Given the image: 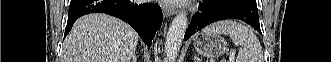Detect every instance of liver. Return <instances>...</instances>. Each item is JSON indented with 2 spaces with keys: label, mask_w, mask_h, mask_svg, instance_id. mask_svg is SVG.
Listing matches in <instances>:
<instances>
[{
  "label": "liver",
  "mask_w": 331,
  "mask_h": 62,
  "mask_svg": "<svg viewBox=\"0 0 331 62\" xmlns=\"http://www.w3.org/2000/svg\"><path fill=\"white\" fill-rule=\"evenodd\" d=\"M138 37L122 20L88 14L75 22L66 37L62 62H130Z\"/></svg>",
  "instance_id": "6515ba94"
}]
</instances>
